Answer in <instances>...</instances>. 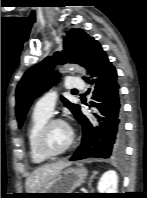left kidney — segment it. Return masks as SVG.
<instances>
[{
  "mask_svg": "<svg viewBox=\"0 0 147 198\" xmlns=\"http://www.w3.org/2000/svg\"><path fill=\"white\" fill-rule=\"evenodd\" d=\"M99 193H117L118 175L116 171L109 170L105 172L98 182Z\"/></svg>",
  "mask_w": 147,
  "mask_h": 198,
  "instance_id": "left-kidney-1",
  "label": "left kidney"
}]
</instances>
